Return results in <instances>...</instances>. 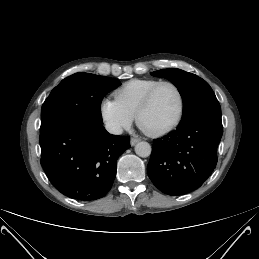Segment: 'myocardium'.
I'll list each match as a JSON object with an SVG mask.
<instances>
[{"mask_svg": "<svg viewBox=\"0 0 259 259\" xmlns=\"http://www.w3.org/2000/svg\"><path fill=\"white\" fill-rule=\"evenodd\" d=\"M163 85H168V86L172 87L175 90V92L177 93V96L179 99L178 114H177L176 118L173 120V122L170 123L167 127L163 128L161 130H158V131H148L142 126L141 120H142L144 113L150 107L156 91ZM184 112H185V98H184V94H183L182 90L180 89V87L173 81L162 80V81H159L158 83H156L146 93L145 97L143 98V100L138 108V111L136 114V123L147 135H149L151 137H161V136H164V135L172 132L174 129H176L178 127V125L180 124V122L183 119Z\"/></svg>", "mask_w": 259, "mask_h": 259, "instance_id": "obj_1", "label": "myocardium"}]
</instances>
